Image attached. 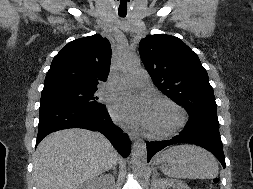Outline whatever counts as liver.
<instances>
[{"instance_id":"obj_1","label":"liver","mask_w":253,"mask_h":189,"mask_svg":"<svg viewBox=\"0 0 253 189\" xmlns=\"http://www.w3.org/2000/svg\"><path fill=\"white\" fill-rule=\"evenodd\" d=\"M110 141L98 132L66 129L46 136L34 158L37 189H76L118 162Z\"/></svg>"}]
</instances>
